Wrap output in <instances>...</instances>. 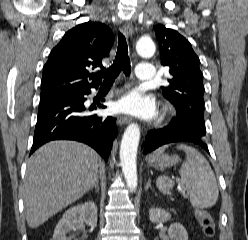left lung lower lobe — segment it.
<instances>
[{"label": "left lung lower lobe", "mask_w": 248, "mask_h": 240, "mask_svg": "<svg viewBox=\"0 0 248 240\" xmlns=\"http://www.w3.org/2000/svg\"><path fill=\"white\" fill-rule=\"evenodd\" d=\"M202 134L190 125H177L170 123L168 126L151 130L142 145L143 153H148L156 148L172 142H188L199 145L208 152L207 145L202 140Z\"/></svg>", "instance_id": "1"}]
</instances>
